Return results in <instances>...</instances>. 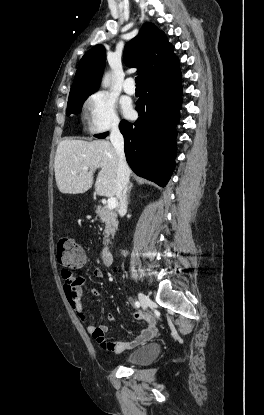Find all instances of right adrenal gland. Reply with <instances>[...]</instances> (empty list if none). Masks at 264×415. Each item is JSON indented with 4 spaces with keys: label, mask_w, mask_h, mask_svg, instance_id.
I'll return each mask as SVG.
<instances>
[{
    "label": "right adrenal gland",
    "mask_w": 264,
    "mask_h": 415,
    "mask_svg": "<svg viewBox=\"0 0 264 415\" xmlns=\"http://www.w3.org/2000/svg\"><path fill=\"white\" fill-rule=\"evenodd\" d=\"M132 187H133V184L130 183L129 186H128V189H127V196L128 197H129V194H130V191H131Z\"/></svg>",
    "instance_id": "right-adrenal-gland-1"
}]
</instances>
